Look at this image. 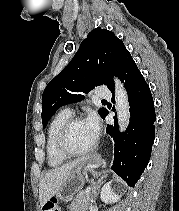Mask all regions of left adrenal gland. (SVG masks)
<instances>
[{
    "label": "left adrenal gland",
    "mask_w": 179,
    "mask_h": 211,
    "mask_svg": "<svg viewBox=\"0 0 179 211\" xmlns=\"http://www.w3.org/2000/svg\"><path fill=\"white\" fill-rule=\"evenodd\" d=\"M101 184H102L101 180H98V182L94 184L93 189H92V191L94 192V198L97 197Z\"/></svg>",
    "instance_id": "obj_1"
}]
</instances>
